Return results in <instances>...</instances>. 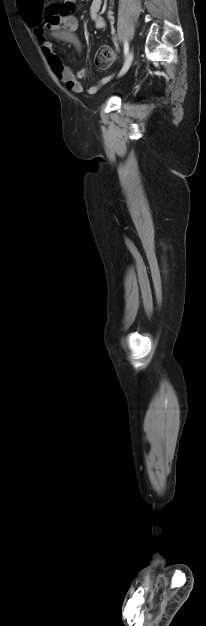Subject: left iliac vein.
Wrapping results in <instances>:
<instances>
[{
  "instance_id": "4c4485c4",
  "label": "left iliac vein",
  "mask_w": 206,
  "mask_h": 626,
  "mask_svg": "<svg viewBox=\"0 0 206 626\" xmlns=\"http://www.w3.org/2000/svg\"><path fill=\"white\" fill-rule=\"evenodd\" d=\"M133 57H134V54H133V51L131 50L128 53L127 58L125 60V63L123 65L122 69L120 70L118 76H122V75H124L128 71V69L130 68V66L132 64Z\"/></svg>"
}]
</instances>
